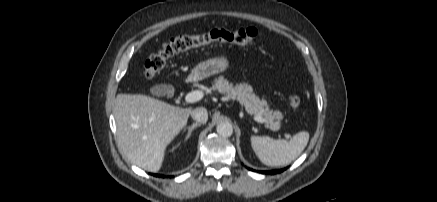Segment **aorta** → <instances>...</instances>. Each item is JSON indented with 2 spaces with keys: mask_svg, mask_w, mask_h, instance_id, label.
Returning <instances> with one entry per match:
<instances>
[{
  "mask_svg": "<svg viewBox=\"0 0 437 202\" xmlns=\"http://www.w3.org/2000/svg\"><path fill=\"white\" fill-rule=\"evenodd\" d=\"M217 133L223 137H230L233 133V127L229 122H221L216 127Z\"/></svg>",
  "mask_w": 437,
  "mask_h": 202,
  "instance_id": "762f6f07",
  "label": "aorta"
}]
</instances>
